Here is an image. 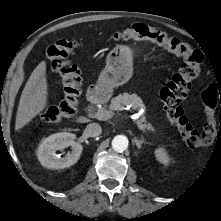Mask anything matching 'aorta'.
<instances>
[{
	"label": "aorta",
	"mask_w": 221,
	"mask_h": 221,
	"mask_svg": "<svg viewBox=\"0 0 221 221\" xmlns=\"http://www.w3.org/2000/svg\"><path fill=\"white\" fill-rule=\"evenodd\" d=\"M128 147V138L124 135H117L112 140V148L116 152H123Z\"/></svg>",
	"instance_id": "obj_1"
}]
</instances>
